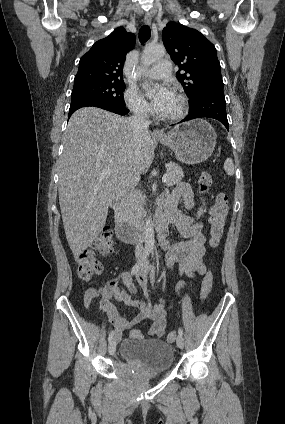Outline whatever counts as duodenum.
Returning a JSON list of instances; mask_svg holds the SVG:
<instances>
[{"label": "duodenum", "instance_id": "duodenum-1", "mask_svg": "<svg viewBox=\"0 0 285 424\" xmlns=\"http://www.w3.org/2000/svg\"><path fill=\"white\" fill-rule=\"evenodd\" d=\"M114 229L117 237L124 243L134 244L147 237L145 227H138L128 223L124 217V205L119 199L114 201ZM154 231L160 238H165L168 232L169 221L162 213H157L153 219Z\"/></svg>", "mask_w": 285, "mask_h": 424}]
</instances>
